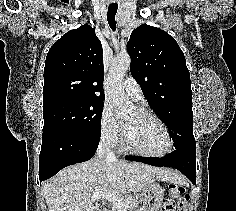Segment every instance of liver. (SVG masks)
Wrapping results in <instances>:
<instances>
[{
  "label": "liver",
  "mask_w": 236,
  "mask_h": 211,
  "mask_svg": "<svg viewBox=\"0 0 236 211\" xmlns=\"http://www.w3.org/2000/svg\"><path fill=\"white\" fill-rule=\"evenodd\" d=\"M156 180L177 183L181 177L170 169L94 158L62 169L45 182L43 193L48 211H97L100 199L93 201L92 196L140 192Z\"/></svg>",
  "instance_id": "6515ba94"
}]
</instances>
